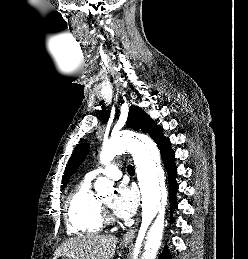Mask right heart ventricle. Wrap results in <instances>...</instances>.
Wrapping results in <instances>:
<instances>
[{"label": "right heart ventricle", "instance_id": "e07e8e85", "mask_svg": "<svg viewBox=\"0 0 248 259\" xmlns=\"http://www.w3.org/2000/svg\"><path fill=\"white\" fill-rule=\"evenodd\" d=\"M104 224L100 201L91 191V180L85 177L70 193L66 204V225L71 234L99 232Z\"/></svg>", "mask_w": 248, "mask_h": 259}]
</instances>
